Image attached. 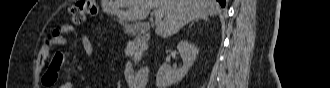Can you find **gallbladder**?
Masks as SVG:
<instances>
[{
	"label": "gallbladder",
	"instance_id": "bac80fb5",
	"mask_svg": "<svg viewBox=\"0 0 330 88\" xmlns=\"http://www.w3.org/2000/svg\"><path fill=\"white\" fill-rule=\"evenodd\" d=\"M126 32L127 33H133L134 32V29H132V30L127 29Z\"/></svg>",
	"mask_w": 330,
	"mask_h": 88
}]
</instances>
